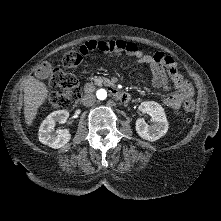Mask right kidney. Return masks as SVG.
<instances>
[{
    "label": "right kidney",
    "instance_id": "obj_1",
    "mask_svg": "<svg viewBox=\"0 0 221 221\" xmlns=\"http://www.w3.org/2000/svg\"><path fill=\"white\" fill-rule=\"evenodd\" d=\"M69 117L66 110L52 112L42 122L39 128V141L49 147L58 149L66 145L71 139V134L67 129H60L54 132L56 123H65Z\"/></svg>",
    "mask_w": 221,
    "mask_h": 221
}]
</instances>
